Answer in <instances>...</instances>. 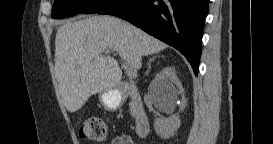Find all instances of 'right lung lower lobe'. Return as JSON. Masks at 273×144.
I'll list each match as a JSON object with an SVG mask.
<instances>
[{"label": "right lung lower lobe", "instance_id": "obj_1", "mask_svg": "<svg viewBox=\"0 0 273 144\" xmlns=\"http://www.w3.org/2000/svg\"><path fill=\"white\" fill-rule=\"evenodd\" d=\"M209 0H110L96 13L131 22L179 50L195 75L202 47V32Z\"/></svg>", "mask_w": 273, "mask_h": 144}]
</instances>
